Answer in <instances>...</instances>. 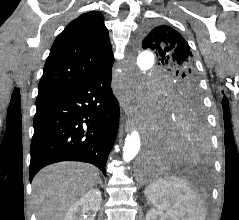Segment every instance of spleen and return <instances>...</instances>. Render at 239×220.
Returning <instances> with one entry per match:
<instances>
[{"instance_id":"1","label":"spleen","mask_w":239,"mask_h":220,"mask_svg":"<svg viewBox=\"0 0 239 220\" xmlns=\"http://www.w3.org/2000/svg\"><path fill=\"white\" fill-rule=\"evenodd\" d=\"M144 194L157 209L171 212L181 220H206L203 201L182 178H159L145 188Z\"/></svg>"}]
</instances>
